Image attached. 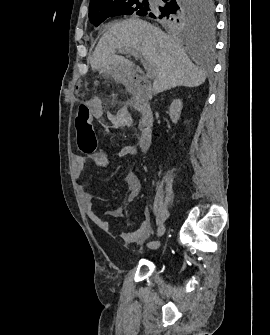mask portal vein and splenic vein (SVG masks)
<instances>
[{"instance_id":"1","label":"portal vein and splenic vein","mask_w":270,"mask_h":335,"mask_svg":"<svg viewBox=\"0 0 270 335\" xmlns=\"http://www.w3.org/2000/svg\"><path fill=\"white\" fill-rule=\"evenodd\" d=\"M119 54H132V56H137L139 58H143V55H141L140 52H135V50H129L127 47H124L122 50H118ZM122 64H127V66H130L129 62L127 60H123ZM143 69L147 71L148 79L150 81H153L155 79V72L152 70L151 62L147 61V59H144L142 62Z\"/></svg>"}]
</instances>
